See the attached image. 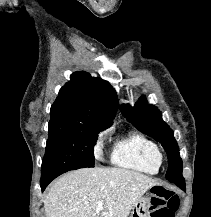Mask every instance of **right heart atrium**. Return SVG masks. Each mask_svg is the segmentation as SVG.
Segmentation results:
<instances>
[{
  "instance_id": "obj_1",
  "label": "right heart atrium",
  "mask_w": 211,
  "mask_h": 217,
  "mask_svg": "<svg viewBox=\"0 0 211 217\" xmlns=\"http://www.w3.org/2000/svg\"><path fill=\"white\" fill-rule=\"evenodd\" d=\"M105 137H106L105 132H100L98 134L96 141H95V145H94V151L96 155H100L102 153Z\"/></svg>"
}]
</instances>
